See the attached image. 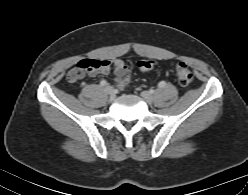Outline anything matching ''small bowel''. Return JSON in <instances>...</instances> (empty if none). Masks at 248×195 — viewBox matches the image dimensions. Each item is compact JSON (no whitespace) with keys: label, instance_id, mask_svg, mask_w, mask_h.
Listing matches in <instances>:
<instances>
[{"label":"small bowel","instance_id":"c3829d8e","mask_svg":"<svg viewBox=\"0 0 248 195\" xmlns=\"http://www.w3.org/2000/svg\"><path fill=\"white\" fill-rule=\"evenodd\" d=\"M91 64L93 68L88 73L89 76L107 74L113 69L117 86H119V81L128 74L127 64L122 59H91Z\"/></svg>","mask_w":248,"mask_h":195}]
</instances>
